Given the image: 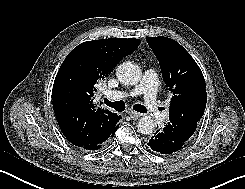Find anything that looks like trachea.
Listing matches in <instances>:
<instances>
[{"mask_svg":"<svg viewBox=\"0 0 245 189\" xmlns=\"http://www.w3.org/2000/svg\"><path fill=\"white\" fill-rule=\"evenodd\" d=\"M104 104L115 109L116 111L118 112H122L125 110V103L123 101H115V102H110L109 100L105 99L104 100ZM133 109L137 112H140V113H146L147 112V109L146 107H144L143 105L141 104H135L133 106Z\"/></svg>","mask_w":245,"mask_h":189,"instance_id":"1","label":"trachea"}]
</instances>
